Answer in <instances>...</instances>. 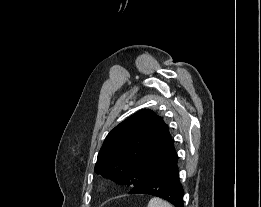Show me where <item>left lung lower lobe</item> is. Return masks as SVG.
<instances>
[{
  "label": "left lung lower lobe",
  "instance_id": "1",
  "mask_svg": "<svg viewBox=\"0 0 261 207\" xmlns=\"http://www.w3.org/2000/svg\"><path fill=\"white\" fill-rule=\"evenodd\" d=\"M129 194H149L163 198L175 207H184V190L179 179L178 159L135 185Z\"/></svg>",
  "mask_w": 261,
  "mask_h": 207
}]
</instances>
